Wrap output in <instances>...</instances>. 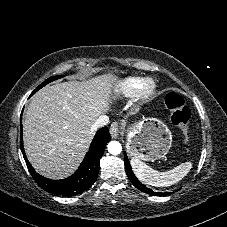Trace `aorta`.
Listing matches in <instances>:
<instances>
[{
    "label": "aorta",
    "mask_w": 227,
    "mask_h": 227,
    "mask_svg": "<svg viewBox=\"0 0 227 227\" xmlns=\"http://www.w3.org/2000/svg\"><path fill=\"white\" fill-rule=\"evenodd\" d=\"M108 152L112 155H118L122 152V146L118 141H111L107 145Z\"/></svg>",
    "instance_id": "1"
}]
</instances>
